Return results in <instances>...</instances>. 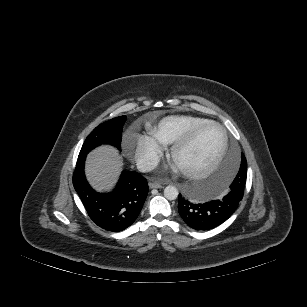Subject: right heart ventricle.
<instances>
[{"label": "right heart ventricle", "instance_id": "1", "mask_svg": "<svg viewBox=\"0 0 307 307\" xmlns=\"http://www.w3.org/2000/svg\"><path fill=\"white\" fill-rule=\"evenodd\" d=\"M209 121L194 115H171L162 118L153 128L152 134L163 145L174 144L193 127Z\"/></svg>", "mask_w": 307, "mask_h": 307}]
</instances>
